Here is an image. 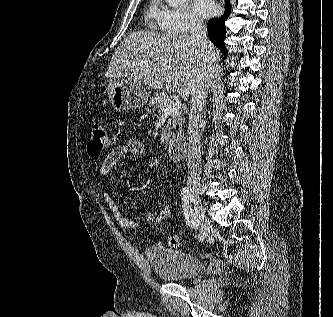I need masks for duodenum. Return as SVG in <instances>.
I'll list each match as a JSON object with an SVG mask.
<instances>
[{
  "label": "duodenum",
  "mask_w": 333,
  "mask_h": 317,
  "mask_svg": "<svg viewBox=\"0 0 333 317\" xmlns=\"http://www.w3.org/2000/svg\"><path fill=\"white\" fill-rule=\"evenodd\" d=\"M187 139L186 137H178L174 139L168 147V154L171 160L175 162L181 161L187 153Z\"/></svg>",
  "instance_id": "1"
}]
</instances>
